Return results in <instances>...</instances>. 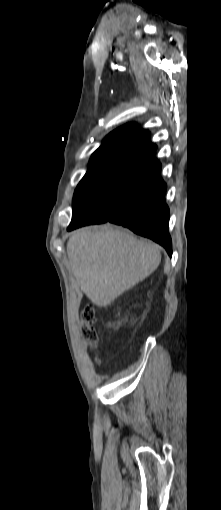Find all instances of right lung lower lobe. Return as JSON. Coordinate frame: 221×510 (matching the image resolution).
<instances>
[{
	"instance_id": "98d812e1",
	"label": "right lung lower lobe",
	"mask_w": 221,
	"mask_h": 510,
	"mask_svg": "<svg viewBox=\"0 0 221 510\" xmlns=\"http://www.w3.org/2000/svg\"><path fill=\"white\" fill-rule=\"evenodd\" d=\"M161 164L152 156L135 178L120 208L110 215L94 216L85 204L73 209L67 230L111 222L129 228L134 233L152 239L172 255L169 235V208L164 195L166 184L160 177Z\"/></svg>"
}]
</instances>
